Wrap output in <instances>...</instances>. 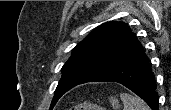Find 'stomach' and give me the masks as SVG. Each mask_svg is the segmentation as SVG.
<instances>
[{"mask_svg":"<svg viewBox=\"0 0 171 110\" xmlns=\"http://www.w3.org/2000/svg\"><path fill=\"white\" fill-rule=\"evenodd\" d=\"M110 102H111L114 110H119L120 105H119L118 100L115 97H111Z\"/></svg>","mask_w":171,"mask_h":110,"instance_id":"stomach-1","label":"stomach"}]
</instances>
